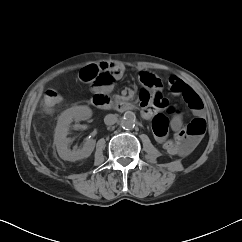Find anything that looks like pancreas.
Returning a JSON list of instances; mask_svg holds the SVG:
<instances>
[{
    "mask_svg": "<svg viewBox=\"0 0 242 242\" xmlns=\"http://www.w3.org/2000/svg\"><path fill=\"white\" fill-rule=\"evenodd\" d=\"M114 98H115L116 101H119V100H122L123 99V97L122 96H119V95H115Z\"/></svg>",
    "mask_w": 242,
    "mask_h": 242,
    "instance_id": "cf45deb5",
    "label": "pancreas"
}]
</instances>
